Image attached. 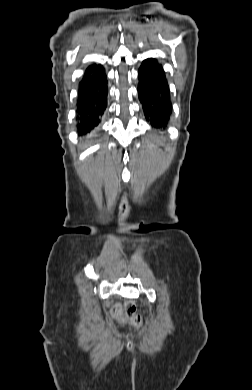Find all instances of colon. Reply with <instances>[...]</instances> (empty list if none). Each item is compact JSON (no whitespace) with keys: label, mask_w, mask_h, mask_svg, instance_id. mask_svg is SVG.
<instances>
[{"label":"colon","mask_w":252,"mask_h":390,"mask_svg":"<svg viewBox=\"0 0 252 390\" xmlns=\"http://www.w3.org/2000/svg\"><path fill=\"white\" fill-rule=\"evenodd\" d=\"M125 316L130 324L139 328L143 324L142 316L137 312L136 304L129 300L125 304Z\"/></svg>","instance_id":"obj_1"}]
</instances>
